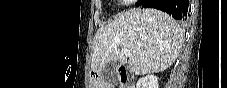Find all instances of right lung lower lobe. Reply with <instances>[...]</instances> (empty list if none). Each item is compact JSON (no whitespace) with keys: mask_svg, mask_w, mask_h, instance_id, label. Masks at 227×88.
I'll use <instances>...</instances> for the list:
<instances>
[{"mask_svg":"<svg viewBox=\"0 0 227 88\" xmlns=\"http://www.w3.org/2000/svg\"><path fill=\"white\" fill-rule=\"evenodd\" d=\"M138 5L160 9L178 20H187L189 0H141Z\"/></svg>","mask_w":227,"mask_h":88,"instance_id":"1","label":"right lung lower lobe"}]
</instances>
